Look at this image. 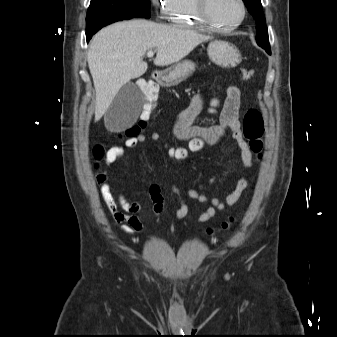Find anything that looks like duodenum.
<instances>
[{"mask_svg":"<svg viewBox=\"0 0 337 337\" xmlns=\"http://www.w3.org/2000/svg\"><path fill=\"white\" fill-rule=\"evenodd\" d=\"M151 76H152L153 79L158 80L160 78L161 74L158 73V72H154V73H152Z\"/></svg>","mask_w":337,"mask_h":337,"instance_id":"obj_1","label":"duodenum"}]
</instances>
